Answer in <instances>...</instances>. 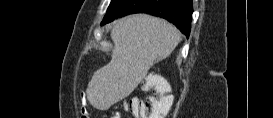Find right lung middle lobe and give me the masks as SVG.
I'll use <instances>...</instances> for the list:
<instances>
[{
	"mask_svg": "<svg viewBox=\"0 0 273 118\" xmlns=\"http://www.w3.org/2000/svg\"><path fill=\"white\" fill-rule=\"evenodd\" d=\"M121 2H122V0H112L109 7H108V10H107V13H106L105 17L108 16L109 14H111L112 11L115 9V7L117 5H119Z\"/></svg>",
	"mask_w": 273,
	"mask_h": 118,
	"instance_id": "obj_1",
	"label": "right lung middle lobe"
}]
</instances>
